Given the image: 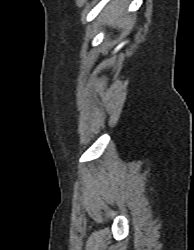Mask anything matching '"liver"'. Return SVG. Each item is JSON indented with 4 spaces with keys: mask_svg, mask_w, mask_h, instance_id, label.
Segmentation results:
<instances>
[{
    "mask_svg": "<svg viewBox=\"0 0 194 250\" xmlns=\"http://www.w3.org/2000/svg\"><path fill=\"white\" fill-rule=\"evenodd\" d=\"M128 0H114L101 13L103 19L108 26L124 27L131 22L130 17H124V12L128 6Z\"/></svg>",
    "mask_w": 194,
    "mask_h": 250,
    "instance_id": "liver-1",
    "label": "liver"
}]
</instances>
